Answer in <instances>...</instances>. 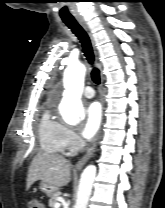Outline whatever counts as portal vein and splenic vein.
I'll return each mask as SVG.
<instances>
[{
  "instance_id": "1",
  "label": "portal vein and splenic vein",
  "mask_w": 165,
  "mask_h": 208,
  "mask_svg": "<svg viewBox=\"0 0 165 208\" xmlns=\"http://www.w3.org/2000/svg\"><path fill=\"white\" fill-rule=\"evenodd\" d=\"M59 207H60V203H56L55 208H59Z\"/></svg>"
}]
</instances>
